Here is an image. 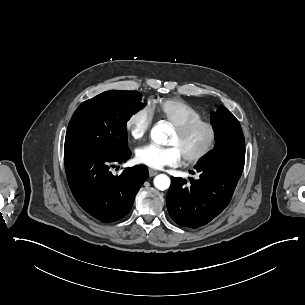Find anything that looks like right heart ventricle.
<instances>
[{
    "mask_svg": "<svg viewBox=\"0 0 305 305\" xmlns=\"http://www.w3.org/2000/svg\"><path fill=\"white\" fill-rule=\"evenodd\" d=\"M153 116L165 118L174 124L203 119V115L184 100L177 98L157 99L149 103Z\"/></svg>",
    "mask_w": 305,
    "mask_h": 305,
    "instance_id": "right-heart-ventricle-1",
    "label": "right heart ventricle"
}]
</instances>
